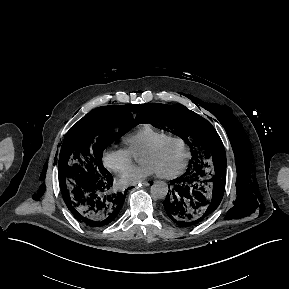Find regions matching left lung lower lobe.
<instances>
[{
  "instance_id": "1",
  "label": "left lung lower lobe",
  "mask_w": 289,
  "mask_h": 289,
  "mask_svg": "<svg viewBox=\"0 0 289 289\" xmlns=\"http://www.w3.org/2000/svg\"><path fill=\"white\" fill-rule=\"evenodd\" d=\"M226 164L214 169H188L171 181L172 187L163 202L168 217L177 225H195L212 215L219 206L225 189Z\"/></svg>"
}]
</instances>
